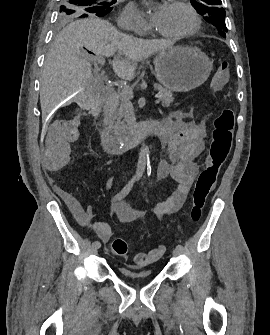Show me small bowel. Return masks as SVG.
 Here are the masks:
<instances>
[{
    "instance_id": "1",
    "label": "small bowel",
    "mask_w": 270,
    "mask_h": 335,
    "mask_svg": "<svg viewBox=\"0 0 270 335\" xmlns=\"http://www.w3.org/2000/svg\"><path fill=\"white\" fill-rule=\"evenodd\" d=\"M162 133L160 143L167 149V158L159 160L156 177L171 178L177 182L172 194L163 202L152 206L148 211L157 217H164L179 210L198 172L196 158L204 150L205 126L182 119H164L161 121ZM50 136L47 137L46 152L50 158L43 163L48 169H75L76 164L69 158V151L75 150L74 144H67L77 138V121L63 118L50 121ZM113 179L106 182V188L112 187ZM146 211L129 207L125 202H116L110 215L120 223H131L139 220ZM79 223L92 229L102 240L112 237V226L106 221L90 223L86 214H78Z\"/></svg>"
}]
</instances>
